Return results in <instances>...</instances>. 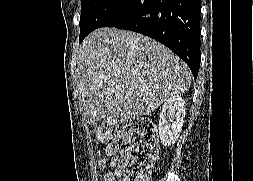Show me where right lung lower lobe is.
<instances>
[{"label": "right lung lower lobe", "instance_id": "98d812e1", "mask_svg": "<svg viewBox=\"0 0 253 181\" xmlns=\"http://www.w3.org/2000/svg\"><path fill=\"white\" fill-rule=\"evenodd\" d=\"M201 0H128L101 27H116L149 36L170 48L190 67H200ZM88 34L79 37L81 42Z\"/></svg>", "mask_w": 253, "mask_h": 181}]
</instances>
